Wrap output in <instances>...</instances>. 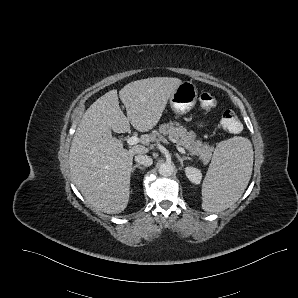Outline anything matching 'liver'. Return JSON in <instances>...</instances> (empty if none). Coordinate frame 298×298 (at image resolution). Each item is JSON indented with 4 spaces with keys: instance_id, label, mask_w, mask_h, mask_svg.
<instances>
[{
    "instance_id": "1",
    "label": "liver",
    "mask_w": 298,
    "mask_h": 298,
    "mask_svg": "<svg viewBox=\"0 0 298 298\" xmlns=\"http://www.w3.org/2000/svg\"><path fill=\"white\" fill-rule=\"evenodd\" d=\"M177 77H150L126 84L98 98L83 114L69 151L70 173L87 202L104 213L123 211L129 200L132 159L147 151L135 145L129 150L112 135L153 128L177 86Z\"/></svg>"
}]
</instances>
